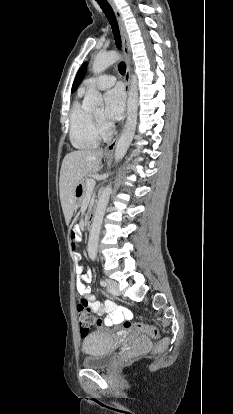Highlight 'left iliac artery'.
I'll use <instances>...</instances> for the list:
<instances>
[{
    "mask_svg": "<svg viewBox=\"0 0 233 414\" xmlns=\"http://www.w3.org/2000/svg\"><path fill=\"white\" fill-rule=\"evenodd\" d=\"M100 284H101V286H103V287H105V286L107 285V283H106V281H105V280H101V281H100Z\"/></svg>",
    "mask_w": 233,
    "mask_h": 414,
    "instance_id": "1",
    "label": "left iliac artery"
}]
</instances>
